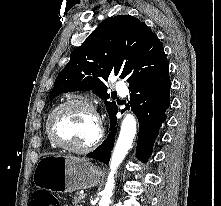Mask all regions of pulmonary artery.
<instances>
[{
  "label": "pulmonary artery",
  "mask_w": 221,
  "mask_h": 206,
  "mask_svg": "<svg viewBox=\"0 0 221 206\" xmlns=\"http://www.w3.org/2000/svg\"><path fill=\"white\" fill-rule=\"evenodd\" d=\"M114 86L120 95L126 94V86L121 80H116Z\"/></svg>",
  "instance_id": "obj_1"
}]
</instances>
